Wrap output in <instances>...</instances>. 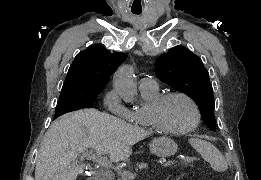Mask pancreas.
Returning <instances> with one entry per match:
<instances>
[{
	"label": "pancreas",
	"instance_id": "1",
	"mask_svg": "<svg viewBox=\"0 0 261 180\" xmlns=\"http://www.w3.org/2000/svg\"><path fill=\"white\" fill-rule=\"evenodd\" d=\"M187 167H193V162H190L188 159L181 160V163H178L176 166L177 170H187ZM128 170H133V165H128ZM121 174L115 173L111 180H121Z\"/></svg>",
	"mask_w": 261,
	"mask_h": 180
}]
</instances>
